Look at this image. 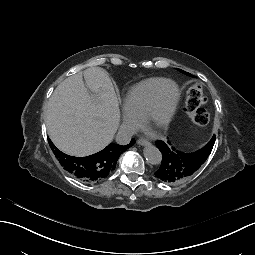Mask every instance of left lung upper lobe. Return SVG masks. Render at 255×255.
<instances>
[{
	"label": "left lung upper lobe",
	"instance_id": "left-lung-upper-lobe-1",
	"mask_svg": "<svg viewBox=\"0 0 255 255\" xmlns=\"http://www.w3.org/2000/svg\"><path fill=\"white\" fill-rule=\"evenodd\" d=\"M180 71L183 72V73H186V74L189 75V76H191V74H189V73H187V72H184V71H182V70H180ZM213 136H215V135H213ZM210 142H211V141H209L208 144H207L206 146H204V147H207V146L209 145ZM204 147H203V148H204ZM168 148H169V147H168ZM169 149H170V148H169ZM170 150H171V149H170ZM200 150H201V149H200ZM200 150H199V151H200ZM171 151H172V150H171ZM173 151H174V149H173ZM173 151H172V152H173ZM199 151L194 152L193 154H196V153H198ZM173 154H174V155H182V156L189 155V154H184V153H181V152H173ZM155 176H156V175H155ZM158 179H159V178H158ZM185 180H186V179H185ZM170 183H175V182H170Z\"/></svg>",
	"mask_w": 255,
	"mask_h": 255
}]
</instances>
